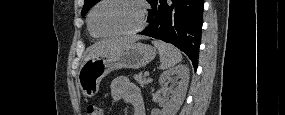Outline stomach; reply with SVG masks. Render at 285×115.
Instances as JSON below:
<instances>
[{"label":"stomach","instance_id":"obj_1","mask_svg":"<svg viewBox=\"0 0 285 115\" xmlns=\"http://www.w3.org/2000/svg\"><path fill=\"white\" fill-rule=\"evenodd\" d=\"M155 56L156 50L152 46L133 42L114 55L89 59L81 66L78 74L80 89L86 97H93L99 91L101 80L110 72L121 68H142Z\"/></svg>","mask_w":285,"mask_h":115}]
</instances>
